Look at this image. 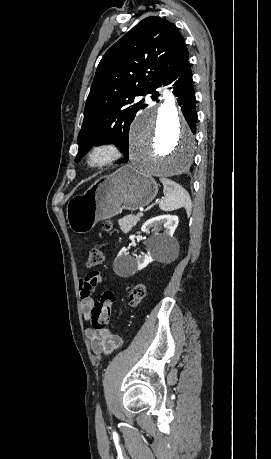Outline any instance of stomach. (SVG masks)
<instances>
[{
  "label": "stomach",
  "instance_id": "1",
  "mask_svg": "<svg viewBox=\"0 0 271 459\" xmlns=\"http://www.w3.org/2000/svg\"><path fill=\"white\" fill-rule=\"evenodd\" d=\"M158 194L154 178L123 166L111 176H101L82 196H74L67 206L69 228L87 233L100 220H108L121 210H139Z\"/></svg>",
  "mask_w": 271,
  "mask_h": 459
}]
</instances>
